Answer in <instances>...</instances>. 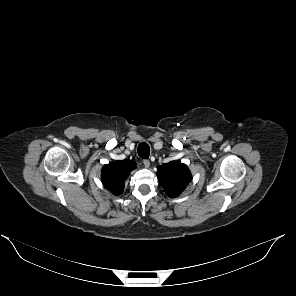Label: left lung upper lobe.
I'll list each match as a JSON object with an SVG mask.
<instances>
[{
    "mask_svg": "<svg viewBox=\"0 0 296 296\" xmlns=\"http://www.w3.org/2000/svg\"><path fill=\"white\" fill-rule=\"evenodd\" d=\"M158 179L169 197L179 196L191 181L188 167L176 161L158 166Z\"/></svg>",
    "mask_w": 296,
    "mask_h": 296,
    "instance_id": "obj_1",
    "label": "left lung upper lobe"
}]
</instances>
